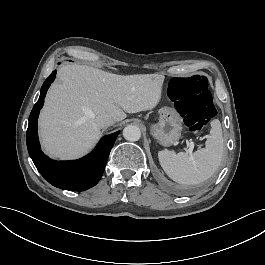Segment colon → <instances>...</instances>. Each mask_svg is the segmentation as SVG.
<instances>
[{"instance_id":"obj_1","label":"colon","mask_w":265,"mask_h":265,"mask_svg":"<svg viewBox=\"0 0 265 265\" xmlns=\"http://www.w3.org/2000/svg\"><path fill=\"white\" fill-rule=\"evenodd\" d=\"M211 82L203 74L176 77L168 82L167 96L176 100L177 109L193 132L206 127L216 115Z\"/></svg>"}]
</instances>
